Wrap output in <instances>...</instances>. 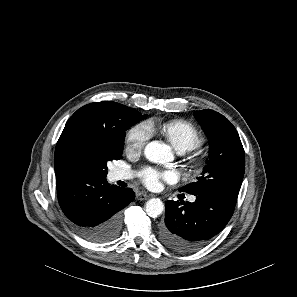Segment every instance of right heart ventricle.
<instances>
[{"label": "right heart ventricle", "instance_id": "right-heart-ventricle-1", "mask_svg": "<svg viewBox=\"0 0 297 297\" xmlns=\"http://www.w3.org/2000/svg\"><path fill=\"white\" fill-rule=\"evenodd\" d=\"M150 128L155 129L154 123ZM160 133L180 152L195 149L203 142V136L199 129L186 120H170L159 126Z\"/></svg>", "mask_w": 297, "mask_h": 297}]
</instances>
